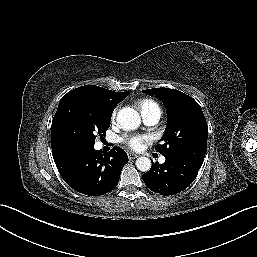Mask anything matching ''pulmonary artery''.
Returning <instances> with one entry per match:
<instances>
[{"mask_svg": "<svg viewBox=\"0 0 257 257\" xmlns=\"http://www.w3.org/2000/svg\"><path fill=\"white\" fill-rule=\"evenodd\" d=\"M143 120L147 125H155L158 123L160 117H161V113L159 112H150L147 114H144L143 116ZM159 161L161 163L165 162V157H160Z\"/></svg>", "mask_w": 257, "mask_h": 257, "instance_id": "pulmonary-artery-1", "label": "pulmonary artery"}]
</instances>
